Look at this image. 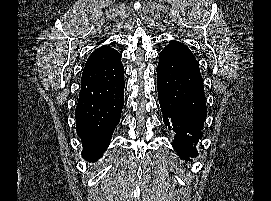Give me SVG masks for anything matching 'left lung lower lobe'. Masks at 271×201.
Returning a JSON list of instances; mask_svg holds the SVG:
<instances>
[{
	"label": "left lung lower lobe",
	"instance_id": "1",
	"mask_svg": "<svg viewBox=\"0 0 271 201\" xmlns=\"http://www.w3.org/2000/svg\"><path fill=\"white\" fill-rule=\"evenodd\" d=\"M157 77L163 122L175 134L174 149L188 160L197 155L207 114L198 62L187 46L171 41L159 55Z\"/></svg>",
	"mask_w": 271,
	"mask_h": 201
}]
</instances>
